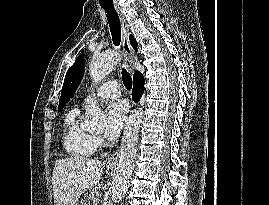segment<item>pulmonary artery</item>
<instances>
[{
	"label": "pulmonary artery",
	"mask_w": 269,
	"mask_h": 205,
	"mask_svg": "<svg viewBox=\"0 0 269 205\" xmlns=\"http://www.w3.org/2000/svg\"><path fill=\"white\" fill-rule=\"evenodd\" d=\"M96 95L103 99H116L120 96L119 85L116 80L104 83L96 91Z\"/></svg>",
	"instance_id": "1"
}]
</instances>
